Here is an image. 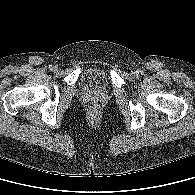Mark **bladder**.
Masks as SVG:
<instances>
[{
  "label": "bladder",
  "mask_w": 195,
  "mask_h": 195,
  "mask_svg": "<svg viewBox=\"0 0 195 195\" xmlns=\"http://www.w3.org/2000/svg\"><path fill=\"white\" fill-rule=\"evenodd\" d=\"M82 89L90 92H105L110 86L107 70L101 66H91L81 75Z\"/></svg>",
  "instance_id": "bladder-1"
}]
</instances>
